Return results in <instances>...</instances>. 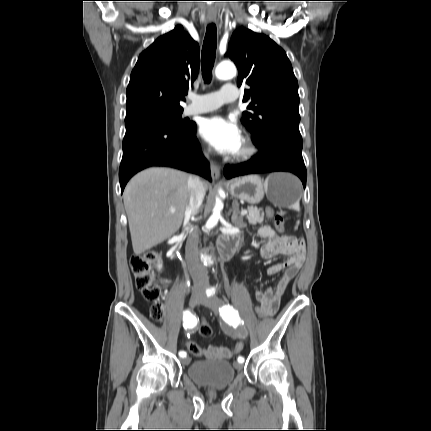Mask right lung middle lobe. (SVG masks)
<instances>
[{"mask_svg": "<svg viewBox=\"0 0 431 431\" xmlns=\"http://www.w3.org/2000/svg\"><path fill=\"white\" fill-rule=\"evenodd\" d=\"M183 111H174V112H162L155 113L151 115H147L144 117L125 120L126 130L130 128H135L141 125L150 124V123H166L171 124L178 127L188 126L190 122L187 120H183L181 117Z\"/></svg>", "mask_w": 431, "mask_h": 431, "instance_id": "obj_1", "label": "right lung middle lobe"}]
</instances>
